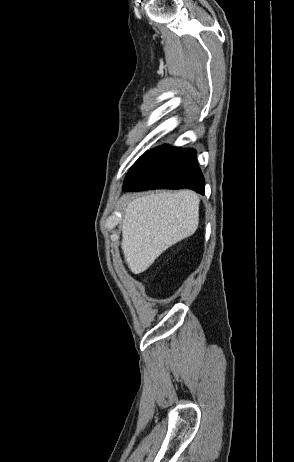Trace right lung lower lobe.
I'll list each match as a JSON object with an SVG mask.
<instances>
[{
    "mask_svg": "<svg viewBox=\"0 0 294 462\" xmlns=\"http://www.w3.org/2000/svg\"><path fill=\"white\" fill-rule=\"evenodd\" d=\"M189 188L204 194V178L193 149L161 146L143 154L128 172L124 191Z\"/></svg>",
    "mask_w": 294,
    "mask_h": 462,
    "instance_id": "right-lung-lower-lobe-1",
    "label": "right lung lower lobe"
}]
</instances>
